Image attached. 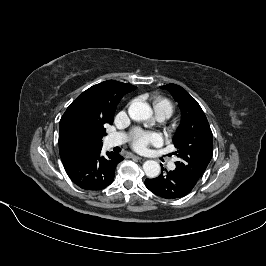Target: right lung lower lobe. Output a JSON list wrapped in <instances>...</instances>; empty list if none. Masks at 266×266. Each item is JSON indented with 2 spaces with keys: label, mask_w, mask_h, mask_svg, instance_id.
<instances>
[{
  "label": "right lung lower lobe",
  "mask_w": 266,
  "mask_h": 266,
  "mask_svg": "<svg viewBox=\"0 0 266 266\" xmlns=\"http://www.w3.org/2000/svg\"><path fill=\"white\" fill-rule=\"evenodd\" d=\"M101 149L85 153L67 164L64 168L69 178L84 190H100L110 185L115 168L123 157L114 152L101 156Z\"/></svg>",
  "instance_id": "obj_1"
}]
</instances>
